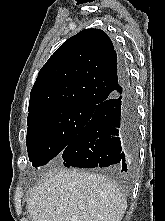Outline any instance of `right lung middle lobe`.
<instances>
[{
  "mask_svg": "<svg viewBox=\"0 0 165 221\" xmlns=\"http://www.w3.org/2000/svg\"><path fill=\"white\" fill-rule=\"evenodd\" d=\"M95 107L61 106L33 114L27 120V150L33 167L61 154L91 119Z\"/></svg>",
  "mask_w": 165,
  "mask_h": 221,
  "instance_id": "right-lung-middle-lobe-1",
  "label": "right lung middle lobe"
}]
</instances>
